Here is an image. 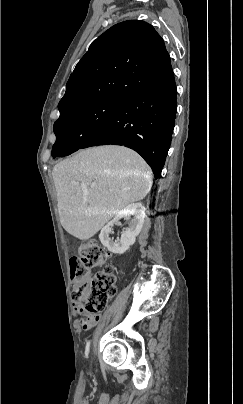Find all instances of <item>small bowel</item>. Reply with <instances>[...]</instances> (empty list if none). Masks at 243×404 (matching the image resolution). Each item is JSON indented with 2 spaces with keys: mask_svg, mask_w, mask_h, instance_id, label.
Here are the masks:
<instances>
[{
  "mask_svg": "<svg viewBox=\"0 0 243 404\" xmlns=\"http://www.w3.org/2000/svg\"><path fill=\"white\" fill-rule=\"evenodd\" d=\"M75 311H76L77 313H83V312H84V308H83L82 305L78 304V305H76V307H75ZM98 321H99V316H98V315H95V316L86 315V317L81 318V319L78 321V324H79V326H80L83 330H89V329H91L92 327H94V326L97 324Z\"/></svg>",
  "mask_w": 243,
  "mask_h": 404,
  "instance_id": "c3829d8e",
  "label": "small bowel"
}]
</instances>
